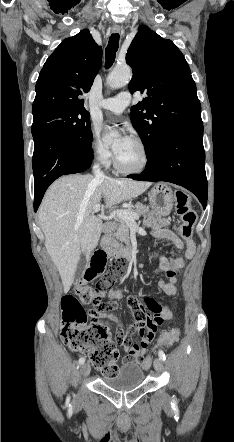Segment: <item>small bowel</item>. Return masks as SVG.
<instances>
[{
    "label": "small bowel",
    "instance_id": "obj_1",
    "mask_svg": "<svg viewBox=\"0 0 234 442\" xmlns=\"http://www.w3.org/2000/svg\"><path fill=\"white\" fill-rule=\"evenodd\" d=\"M144 224L152 228V234L159 239L169 240L180 252L179 256L170 258L159 257V267L167 275V280H160L158 288L166 295L177 294V274L183 270L186 263L193 257L195 252V244L191 239H181L175 231L167 228L169 220L160 217L157 213L151 212L144 220ZM112 309L111 304H105L102 308L103 314H90L87 320V327L94 328L95 331H105L112 336H115L114 341L120 344V348L126 350L124 361L126 368L129 370L138 369L139 365L143 363L146 348L155 337L158 328L164 327L165 320L173 318V312L163 307L161 314H134L131 320V325H117L116 330L108 321V311ZM112 320V317H109ZM138 333V334H129ZM131 337H140L138 344L131 346ZM162 346L161 340H159Z\"/></svg>",
    "mask_w": 234,
    "mask_h": 442
}]
</instances>
